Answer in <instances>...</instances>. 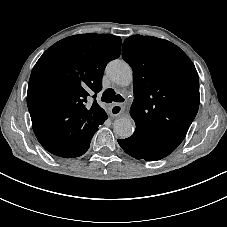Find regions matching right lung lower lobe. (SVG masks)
<instances>
[{
	"label": "right lung lower lobe",
	"mask_w": 227,
	"mask_h": 227,
	"mask_svg": "<svg viewBox=\"0 0 227 227\" xmlns=\"http://www.w3.org/2000/svg\"><path fill=\"white\" fill-rule=\"evenodd\" d=\"M87 151V150H86ZM86 151H84L82 154H80L79 156L83 155ZM51 153V152H50ZM56 156H59V157H65V158H73V157H78V156H71V155H62V154H56V153H52Z\"/></svg>",
	"instance_id": "obj_1"
}]
</instances>
